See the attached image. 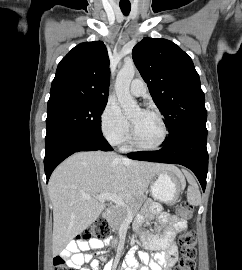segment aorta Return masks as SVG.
Listing matches in <instances>:
<instances>
[{
	"label": "aorta",
	"mask_w": 242,
	"mask_h": 270,
	"mask_svg": "<svg viewBox=\"0 0 242 270\" xmlns=\"http://www.w3.org/2000/svg\"><path fill=\"white\" fill-rule=\"evenodd\" d=\"M136 67L134 63H125L119 71L116 83L115 92L118 102L126 115H132L139 110L136 101L130 95V83L135 75Z\"/></svg>",
	"instance_id": "1"
}]
</instances>
